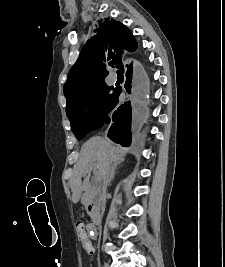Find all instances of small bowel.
I'll use <instances>...</instances> for the list:
<instances>
[{
	"label": "small bowel",
	"mask_w": 225,
	"mask_h": 267,
	"mask_svg": "<svg viewBox=\"0 0 225 267\" xmlns=\"http://www.w3.org/2000/svg\"><path fill=\"white\" fill-rule=\"evenodd\" d=\"M85 231V238H82L80 233H78V238L79 241L81 242L82 245L84 243H87L89 245L88 249H85L89 254H92L94 252L93 246L90 241V235H94V227L92 225H87L86 229L84 228ZM93 232V233H92Z\"/></svg>",
	"instance_id": "obj_1"
}]
</instances>
